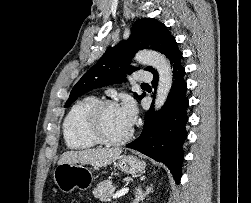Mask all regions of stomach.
Listing matches in <instances>:
<instances>
[{
	"label": "stomach",
	"instance_id": "obj_1",
	"mask_svg": "<svg viewBox=\"0 0 251 203\" xmlns=\"http://www.w3.org/2000/svg\"><path fill=\"white\" fill-rule=\"evenodd\" d=\"M114 165L126 174L142 172L146 167L144 161L131 155L119 156ZM53 177L57 187L64 193H70L76 188L87 190L94 180L91 170L77 163L59 164L54 170Z\"/></svg>",
	"mask_w": 251,
	"mask_h": 203
}]
</instances>
